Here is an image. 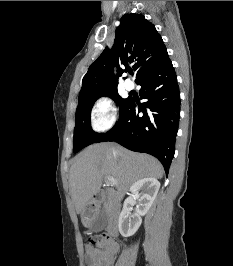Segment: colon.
I'll use <instances>...</instances> for the list:
<instances>
[{"instance_id":"1","label":"colon","mask_w":233,"mask_h":266,"mask_svg":"<svg viewBox=\"0 0 233 266\" xmlns=\"http://www.w3.org/2000/svg\"><path fill=\"white\" fill-rule=\"evenodd\" d=\"M108 236L106 234H98V235H92L88 239V244L91 246H96L98 247L101 243L105 242L108 240Z\"/></svg>"}]
</instances>
